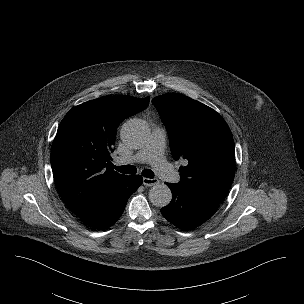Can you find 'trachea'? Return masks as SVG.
<instances>
[{
  "mask_svg": "<svg viewBox=\"0 0 304 304\" xmlns=\"http://www.w3.org/2000/svg\"><path fill=\"white\" fill-rule=\"evenodd\" d=\"M113 167L120 173L135 174L137 172L136 167L133 165H123V166H114L113 165ZM142 175L147 178H154V173L150 169H144L142 171Z\"/></svg>",
  "mask_w": 304,
  "mask_h": 304,
  "instance_id": "trachea-1",
  "label": "trachea"
}]
</instances>
